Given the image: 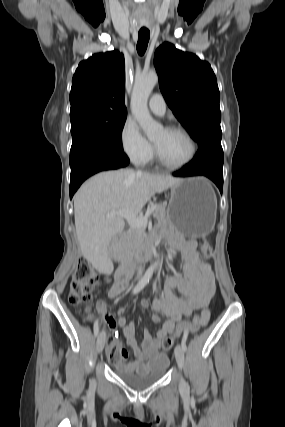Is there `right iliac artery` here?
<instances>
[{
    "label": "right iliac artery",
    "instance_id": "82829eb1",
    "mask_svg": "<svg viewBox=\"0 0 285 427\" xmlns=\"http://www.w3.org/2000/svg\"><path fill=\"white\" fill-rule=\"evenodd\" d=\"M153 271H154L153 267H150L147 269L142 279L138 282V284L133 289V294H137L147 285V283L152 277ZM98 333H99V326H98V323H96L94 325V335L97 336Z\"/></svg>",
    "mask_w": 285,
    "mask_h": 427
}]
</instances>
